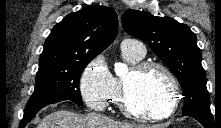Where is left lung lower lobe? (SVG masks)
<instances>
[{
    "label": "left lung lower lobe",
    "instance_id": "left-lung-lower-lobe-1",
    "mask_svg": "<svg viewBox=\"0 0 221 128\" xmlns=\"http://www.w3.org/2000/svg\"><path fill=\"white\" fill-rule=\"evenodd\" d=\"M190 116L197 121H199L205 128H215L217 126V122L214 120L213 115H201V114H191L186 115Z\"/></svg>",
    "mask_w": 221,
    "mask_h": 128
}]
</instances>
